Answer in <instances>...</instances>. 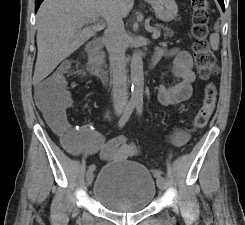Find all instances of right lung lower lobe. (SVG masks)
Here are the masks:
<instances>
[{"label": "right lung lower lobe", "instance_id": "1", "mask_svg": "<svg viewBox=\"0 0 245 225\" xmlns=\"http://www.w3.org/2000/svg\"><path fill=\"white\" fill-rule=\"evenodd\" d=\"M43 0H35V10L37 11V9L39 8V6H40V4H41V2H42Z\"/></svg>", "mask_w": 245, "mask_h": 225}]
</instances>
